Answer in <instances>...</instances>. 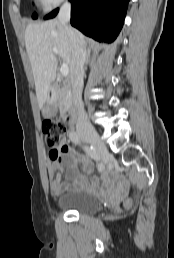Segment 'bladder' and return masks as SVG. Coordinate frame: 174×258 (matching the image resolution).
Segmentation results:
<instances>
[{
    "mask_svg": "<svg viewBox=\"0 0 174 258\" xmlns=\"http://www.w3.org/2000/svg\"><path fill=\"white\" fill-rule=\"evenodd\" d=\"M55 206L59 209L78 214H96L101 207L98 198L90 191L84 189L62 193L56 198Z\"/></svg>",
    "mask_w": 174,
    "mask_h": 258,
    "instance_id": "bladder-1",
    "label": "bladder"
}]
</instances>
